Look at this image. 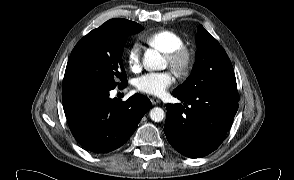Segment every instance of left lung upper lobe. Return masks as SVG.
Here are the masks:
<instances>
[{
  "mask_svg": "<svg viewBox=\"0 0 294 180\" xmlns=\"http://www.w3.org/2000/svg\"><path fill=\"white\" fill-rule=\"evenodd\" d=\"M197 30L196 63L191 75L174 91L181 94L208 91L237 93L233 66L225 50L202 25Z\"/></svg>",
  "mask_w": 294,
  "mask_h": 180,
  "instance_id": "left-lung-upper-lobe-1",
  "label": "left lung upper lobe"
}]
</instances>
